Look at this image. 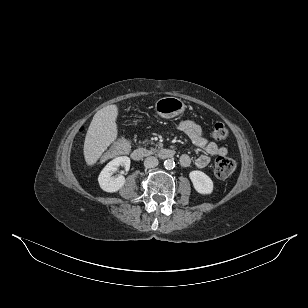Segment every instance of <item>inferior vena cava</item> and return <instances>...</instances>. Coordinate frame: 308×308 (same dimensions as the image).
Instances as JSON below:
<instances>
[{"label":"inferior vena cava","instance_id":"obj_1","mask_svg":"<svg viewBox=\"0 0 308 308\" xmlns=\"http://www.w3.org/2000/svg\"><path fill=\"white\" fill-rule=\"evenodd\" d=\"M159 164V161L156 157L150 156L144 160V166L146 168H154Z\"/></svg>","mask_w":308,"mask_h":308}]
</instances>
